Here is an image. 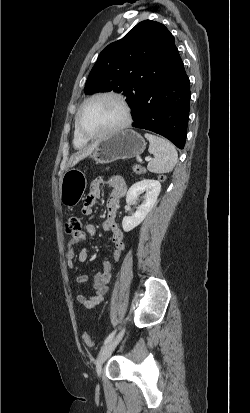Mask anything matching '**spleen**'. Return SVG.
Masks as SVG:
<instances>
[{
	"label": "spleen",
	"mask_w": 250,
	"mask_h": 413,
	"mask_svg": "<svg viewBox=\"0 0 250 413\" xmlns=\"http://www.w3.org/2000/svg\"><path fill=\"white\" fill-rule=\"evenodd\" d=\"M145 138L149 141V153L154 155L147 165L148 170L153 173L172 171L178 160L174 145L164 138L148 133L145 134Z\"/></svg>",
	"instance_id": "obj_1"
}]
</instances>
